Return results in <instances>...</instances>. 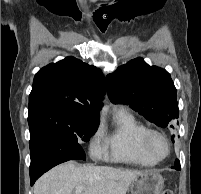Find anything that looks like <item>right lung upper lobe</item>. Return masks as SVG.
I'll return each instance as SVG.
<instances>
[{
    "label": "right lung upper lobe",
    "instance_id": "1",
    "mask_svg": "<svg viewBox=\"0 0 201 194\" xmlns=\"http://www.w3.org/2000/svg\"><path fill=\"white\" fill-rule=\"evenodd\" d=\"M105 91V79L99 69L75 57L50 63L35 75L29 105L55 101L71 112L99 118Z\"/></svg>",
    "mask_w": 201,
    "mask_h": 194
}]
</instances>
